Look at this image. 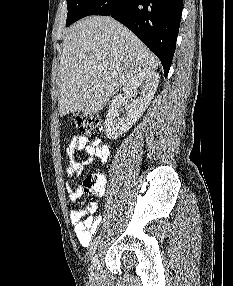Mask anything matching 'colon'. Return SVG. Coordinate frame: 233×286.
<instances>
[{
    "label": "colon",
    "mask_w": 233,
    "mask_h": 286,
    "mask_svg": "<svg viewBox=\"0 0 233 286\" xmlns=\"http://www.w3.org/2000/svg\"><path fill=\"white\" fill-rule=\"evenodd\" d=\"M71 123L80 129L92 146L99 145L102 131V121L99 116L75 114L71 119ZM82 187L87 193H96L105 187V178L102 175H89L84 179Z\"/></svg>",
    "instance_id": "1"
}]
</instances>
